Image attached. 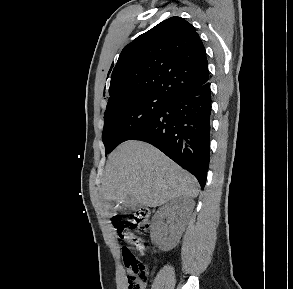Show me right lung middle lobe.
<instances>
[{
  "label": "right lung middle lobe",
  "mask_w": 293,
  "mask_h": 289,
  "mask_svg": "<svg viewBox=\"0 0 293 289\" xmlns=\"http://www.w3.org/2000/svg\"><path fill=\"white\" fill-rule=\"evenodd\" d=\"M170 99L160 94H143L108 105L102 140L106 154L155 116Z\"/></svg>",
  "instance_id": "right-lung-middle-lobe-1"
}]
</instances>
